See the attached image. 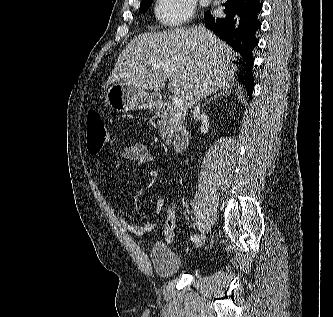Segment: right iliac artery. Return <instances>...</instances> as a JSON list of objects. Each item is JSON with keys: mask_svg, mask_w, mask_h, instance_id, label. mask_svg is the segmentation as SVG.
I'll list each match as a JSON object with an SVG mask.
<instances>
[{"mask_svg": "<svg viewBox=\"0 0 333 317\" xmlns=\"http://www.w3.org/2000/svg\"><path fill=\"white\" fill-rule=\"evenodd\" d=\"M198 238H199L198 235H192V236H191V240H192L193 242L196 241Z\"/></svg>", "mask_w": 333, "mask_h": 317, "instance_id": "82829eb1", "label": "right iliac artery"}]
</instances>
